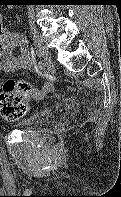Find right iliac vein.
<instances>
[{
    "mask_svg": "<svg viewBox=\"0 0 121 197\" xmlns=\"http://www.w3.org/2000/svg\"><path fill=\"white\" fill-rule=\"evenodd\" d=\"M31 33H32L33 38L36 42L38 51L44 60L45 66L47 68H50L52 66L51 53H50L44 39L42 38V36L39 34V32L37 31V29L35 27L31 28Z\"/></svg>",
    "mask_w": 121,
    "mask_h": 197,
    "instance_id": "obj_1",
    "label": "right iliac vein"
}]
</instances>
